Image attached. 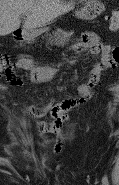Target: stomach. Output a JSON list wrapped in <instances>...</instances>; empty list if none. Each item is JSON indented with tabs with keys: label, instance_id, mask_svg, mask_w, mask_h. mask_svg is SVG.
Segmentation results:
<instances>
[{
	"label": "stomach",
	"instance_id": "1",
	"mask_svg": "<svg viewBox=\"0 0 119 185\" xmlns=\"http://www.w3.org/2000/svg\"><path fill=\"white\" fill-rule=\"evenodd\" d=\"M84 6L76 13V16L82 20H93L99 16L105 9L104 5L99 0H84ZM43 29L24 30L22 37L25 41H31L41 33Z\"/></svg>",
	"mask_w": 119,
	"mask_h": 185
}]
</instances>
